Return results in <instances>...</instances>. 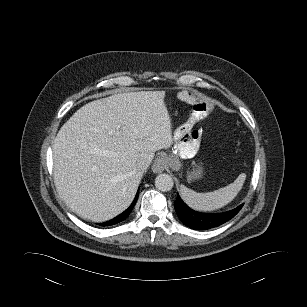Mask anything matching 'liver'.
I'll use <instances>...</instances> for the list:
<instances>
[{
	"instance_id": "obj_1",
	"label": "liver",
	"mask_w": 307,
	"mask_h": 307,
	"mask_svg": "<svg viewBox=\"0 0 307 307\" xmlns=\"http://www.w3.org/2000/svg\"><path fill=\"white\" fill-rule=\"evenodd\" d=\"M164 91L115 94L78 109L53 144L54 182L78 216L102 222L133 201L155 152L173 143Z\"/></svg>"
}]
</instances>
